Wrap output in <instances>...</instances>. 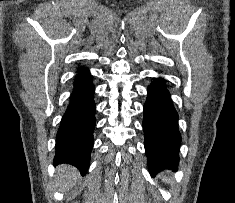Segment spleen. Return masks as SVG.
Returning <instances> with one entry per match:
<instances>
[{
	"label": "spleen",
	"instance_id": "spleen-1",
	"mask_svg": "<svg viewBox=\"0 0 235 203\" xmlns=\"http://www.w3.org/2000/svg\"><path fill=\"white\" fill-rule=\"evenodd\" d=\"M162 179L164 182H169V179L166 176H163Z\"/></svg>",
	"mask_w": 235,
	"mask_h": 203
}]
</instances>
